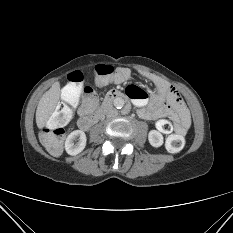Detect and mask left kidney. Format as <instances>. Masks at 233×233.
Masks as SVG:
<instances>
[{
	"label": "left kidney",
	"mask_w": 233,
	"mask_h": 233,
	"mask_svg": "<svg viewBox=\"0 0 233 233\" xmlns=\"http://www.w3.org/2000/svg\"><path fill=\"white\" fill-rule=\"evenodd\" d=\"M149 143L153 147H160L163 145V135L156 130H151L148 134Z\"/></svg>",
	"instance_id": "1"
}]
</instances>
